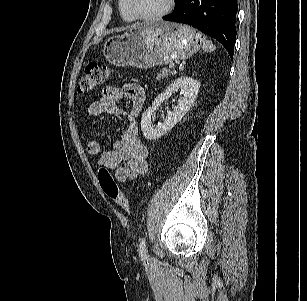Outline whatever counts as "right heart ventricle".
Wrapping results in <instances>:
<instances>
[{
    "instance_id": "right-heart-ventricle-1",
    "label": "right heart ventricle",
    "mask_w": 307,
    "mask_h": 301,
    "mask_svg": "<svg viewBox=\"0 0 307 301\" xmlns=\"http://www.w3.org/2000/svg\"><path fill=\"white\" fill-rule=\"evenodd\" d=\"M118 8H119V12L121 14V17L127 21V22H133L136 19L134 18V16L132 15V13L130 12L128 6H127V1L126 0H119L118 1Z\"/></svg>"
}]
</instances>
